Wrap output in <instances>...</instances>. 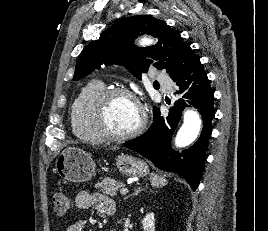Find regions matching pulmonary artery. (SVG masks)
Returning a JSON list of instances; mask_svg holds the SVG:
<instances>
[{"mask_svg": "<svg viewBox=\"0 0 268 231\" xmlns=\"http://www.w3.org/2000/svg\"><path fill=\"white\" fill-rule=\"evenodd\" d=\"M156 78L162 82L165 79V75L161 72L156 74ZM163 89L166 93L170 94L172 92V84L170 82L168 83H162Z\"/></svg>", "mask_w": 268, "mask_h": 231, "instance_id": "pulmonary-artery-1", "label": "pulmonary artery"}]
</instances>
